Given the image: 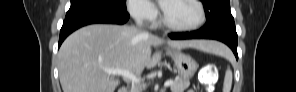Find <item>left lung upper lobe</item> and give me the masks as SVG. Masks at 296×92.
Segmentation results:
<instances>
[{
	"mask_svg": "<svg viewBox=\"0 0 296 92\" xmlns=\"http://www.w3.org/2000/svg\"><path fill=\"white\" fill-rule=\"evenodd\" d=\"M207 21L201 28L211 33L224 28L235 29L234 18L230 11V0H201Z\"/></svg>",
	"mask_w": 296,
	"mask_h": 92,
	"instance_id": "5c2ea615",
	"label": "left lung upper lobe"
}]
</instances>
